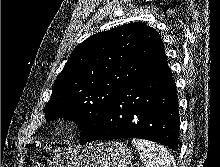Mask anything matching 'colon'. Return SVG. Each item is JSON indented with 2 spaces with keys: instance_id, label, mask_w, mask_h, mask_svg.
Segmentation results:
<instances>
[{
  "instance_id": "obj_1",
  "label": "colon",
  "mask_w": 220,
  "mask_h": 167,
  "mask_svg": "<svg viewBox=\"0 0 220 167\" xmlns=\"http://www.w3.org/2000/svg\"><path fill=\"white\" fill-rule=\"evenodd\" d=\"M35 167H45V166H43V165L40 164V165H36Z\"/></svg>"
}]
</instances>
